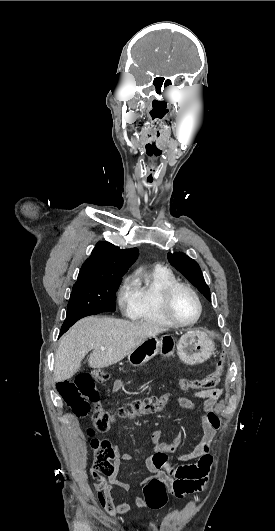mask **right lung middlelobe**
Listing matches in <instances>:
<instances>
[{
  "instance_id": "right-lung-middle-lobe-1",
  "label": "right lung middle lobe",
  "mask_w": 275,
  "mask_h": 531,
  "mask_svg": "<svg viewBox=\"0 0 275 531\" xmlns=\"http://www.w3.org/2000/svg\"><path fill=\"white\" fill-rule=\"evenodd\" d=\"M121 280L122 277L77 279L70 295L66 319L61 330L67 331L82 317L114 311L116 291Z\"/></svg>"
}]
</instances>
